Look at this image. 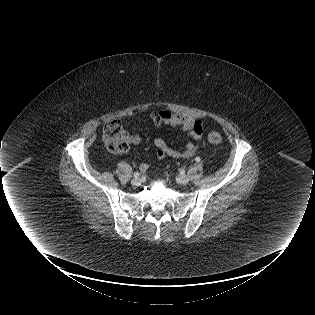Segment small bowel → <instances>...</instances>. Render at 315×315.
<instances>
[{"mask_svg": "<svg viewBox=\"0 0 315 315\" xmlns=\"http://www.w3.org/2000/svg\"><path fill=\"white\" fill-rule=\"evenodd\" d=\"M148 116L152 120L156 130L160 129L162 125H168L181 130L191 138L182 148L168 146L166 141L160 137L154 138L153 143L156 147L157 160L160 161L166 157L172 159H188L196 154L199 146L194 143L193 140H200L205 133V126L200 120H194L190 117L178 115L166 110L151 112ZM128 142L133 146H137L141 143V138L139 135H131L128 137ZM139 169L142 172H146L149 169V164L142 163Z\"/></svg>", "mask_w": 315, "mask_h": 315, "instance_id": "obj_1", "label": "small bowel"}]
</instances>
